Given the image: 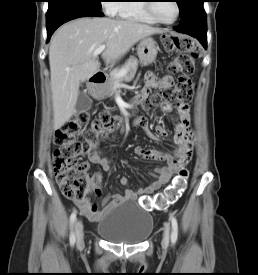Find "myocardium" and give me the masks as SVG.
Wrapping results in <instances>:
<instances>
[{"label":"myocardium","mask_w":258,"mask_h":275,"mask_svg":"<svg viewBox=\"0 0 258 275\" xmlns=\"http://www.w3.org/2000/svg\"><path fill=\"white\" fill-rule=\"evenodd\" d=\"M146 2H154V1H146ZM174 4H175V7H176V16L173 20L171 21H163L162 19H160L156 13H155V10H154V4L155 3H145V8H146V11L148 12V14L157 22V23H160V24H165V25H170V24H173L177 21V19L179 18L180 16V6H179V3L177 1H173Z\"/></svg>","instance_id":"1"}]
</instances>
